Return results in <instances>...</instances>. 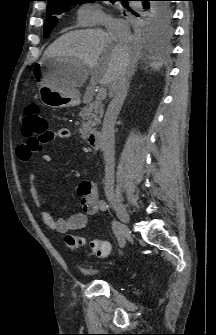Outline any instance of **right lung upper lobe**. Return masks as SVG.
Listing matches in <instances>:
<instances>
[{"instance_id": "1", "label": "right lung upper lobe", "mask_w": 216, "mask_h": 335, "mask_svg": "<svg viewBox=\"0 0 216 335\" xmlns=\"http://www.w3.org/2000/svg\"><path fill=\"white\" fill-rule=\"evenodd\" d=\"M46 1H48V5H49V4H52V3H55V2L69 1V0H46Z\"/></svg>"}]
</instances>
